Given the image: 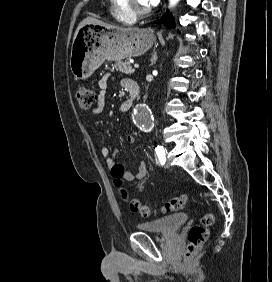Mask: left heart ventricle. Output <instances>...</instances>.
<instances>
[{
	"label": "left heart ventricle",
	"instance_id": "b2bd125f",
	"mask_svg": "<svg viewBox=\"0 0 272 282\" xmlns=\"http://www.w3.org/2000/svg\"><path fill=\"white\" fill-rule=\"evenodd\" d=\"M136 4L141 9H148V8H150V7H148V5H147L145 0H136Z\"/></svg>",
	"mask_w": 272,
	"mask_h": 282
}]
</instances>
